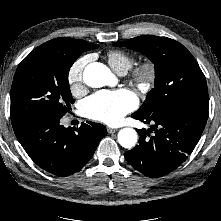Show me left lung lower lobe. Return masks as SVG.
Here are the masks:
<instances>
[{
  "mask_svg": "<svg viewBox=\"0 0 221 221\" xmlns=\"http://www.w3.org/2000/svg\"><path fill=\"white\" fill-rule=\"evenodd\" d=\"M132 117L152 126L137 130L139 144L124 156L134 169L157 178L175 170L192 153L206 125L208 110L183 105L150 116L135 112Z\"/></svg>",
  "mask_w": 221,
  "mask_h": 221,
  "instance_id": "obj_1",
  "label": "left lung lower lobe"
}]
</instances>
